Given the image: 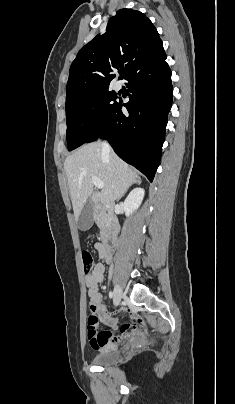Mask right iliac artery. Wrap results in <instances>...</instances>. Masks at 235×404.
Returning <instances> with one entry per match:
<instances>
[{
	"label": "right iliac artery",
	"mask_w": 235,
	"mask_h": 404,
	"mask_svg": "<svg viewBox=\"0 0 235 404\" xmlns=\"http://www.w3.org/2000/svg\"><path fill=\"white\" fill-rule=\"evenodd\" d=\"M113 296H114V293H113V292H110V293H109V297H110V298H113Z\"/></svg>",
	"instance_id": "obj_1"
}]
</instances>
